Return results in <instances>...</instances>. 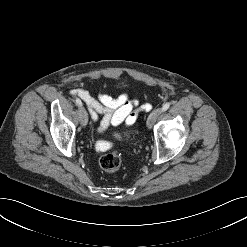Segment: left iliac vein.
<instances>
[{"instance_id":"1","label":"left iliac vein","mask_w":247,"mask_h":247,"mask_svg":"<svg viewBox=\"0 0 247 247\" xmlns=\"http://www.w3.org/2000/svg\"><path fill=\"white\" fill-rule=\"evenodd\" d=\"M162 108H157L155 109L148 117L147 119V127L151 128L152 125L155 123V121L157 120V118L160 116V114L162 113Z\"/></svg>"}]
</instances>
